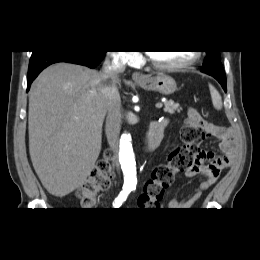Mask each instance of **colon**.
<instances>
[{
    "mask_svg": "<svg viewBox=\"0 0 260 260\" xmlns=\"http://www.w3.org/2000/svg\"><path fill=\"white\" fill-rule=\"evenodd\" d=\"M196 113L195 109L189 110L188 118L181 131L183 145L170 154L167 163L156 166L151 178L145 183L142 195L153 205H157L162 199L165 190L173 184L176 175L187 171L193 165L196 155L200 152V144L205 134L196 123ZM112 156V152L107 151L105 157L96 164L82 185L77 194L82 204H91L97 192L106 190L110 186L113 177L110 162Z\"/></svg>",
    "mask_w": 260,
    "mask_h": 260,
    "instance_id": "1",
    "label": "colon"
}]
</instances>
